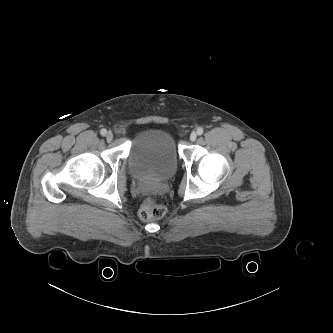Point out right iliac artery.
<instances>
[{
    "instance_id": "1",
    "label": "right iliac artery",
    "mask_w": 333,
    "mask_h": 333,
    "mask_svg": "<svg viewBox=\"0 0 333 333\" xmlns=\"http://www.w3.org/2000/svg\"><path fill=\"white\" fill-rule=\"evenodd\" d=\"M106 133H107V130H106V129H101L100 134H101L102 136H105Z\"/></svg>"
}]
</instances>
